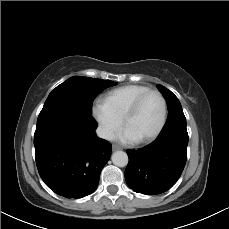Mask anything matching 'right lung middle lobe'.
I'll list each match as a JSON object with an SVG mask.
<instances>
[{
    "mask_svg": "<svg viewBox=\"0 0 229 229\" xmlns=\"http://www.w3.org/2000/svg\"><path fill=\"white\" fill-rule=\"evenodd\" d=\"M110 80L73 76L49 94L40 113L70 109L92 113V102L104 89L115 86Z\"/></svg>",
    "mask_w": 229,
    "mask_h": 229,
    "instance_id": "obj_1",
    "label": "right lung middle lobe"
}]
</instances>
